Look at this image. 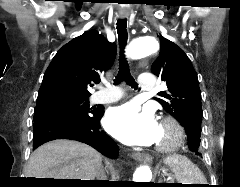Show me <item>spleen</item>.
<instances>
[{
	"mask_svg": "<svg viewBox=\"0 0 240 187\" xmlns=\"http://www.w3.org/2000/svg\"><path fill=\"white\" fill-rule=\"evenodd\" d=\"M165 163L174 173L177 181L183 184H206L200 169L187 157L174 154L166 158Z\"/></svg>",
	"mask_w": 240,
	"mask_h": 187,
	"instance_id": "obj_1",
	"label": "spleen"
}]
</instances>
